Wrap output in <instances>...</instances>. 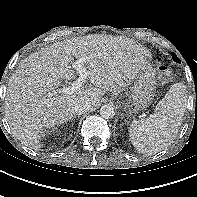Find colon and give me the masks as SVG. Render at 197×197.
Segmentation results:
<instances>
[{"label": "colon", "mask_w": 197, "mask_h": 197, "mask_svg": "<svg viewBox=\"0 0 197 197\" xmlns=\"http://www.w3.org/2000/svg\"><path fill=\"white\" fill-rule=\"evenodd\" d=\"M159 65H158V76L159 79L162 82H168L172 79V73L170 71V69L165 66L164 64L161 63V60L159 59Z\"/></svg>", "instance_id": "1"}]
</instances>
